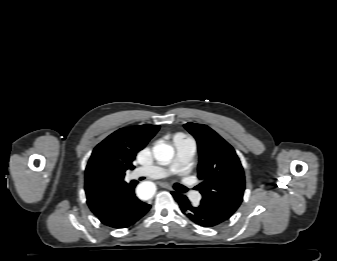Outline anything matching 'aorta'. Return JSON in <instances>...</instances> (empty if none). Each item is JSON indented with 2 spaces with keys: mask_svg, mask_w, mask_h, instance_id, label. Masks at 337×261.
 I'll list each match as a JSON object with an SVG mask.
<instances>
[{
  "mask_svg": "<svg viewBox=\"0 0 337 261\" xmlns=\"http://www.w3.org/2000/svg\"><path fill=\"white\" fill-rule=\"evenodd\" d=\"M153 156L160 164H168L174 156V148L168 144H157L153 147ZM156 191L153 182L144 181L137 186V195L141 199L151 198Z\"/></svg>",
  "mask_w": 337,
  "mask_h": 261,
  "instance_id": "aorta-1",
  "label": "aorta"
}]
</instances>
